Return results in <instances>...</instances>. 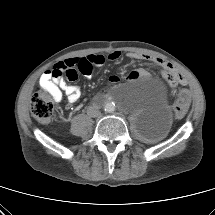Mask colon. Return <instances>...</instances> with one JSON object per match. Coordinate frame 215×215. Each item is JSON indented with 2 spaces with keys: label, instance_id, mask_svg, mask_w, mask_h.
I'll use <instances>...</instances> for the list:
<instances>
[{
  "label": "colon",
  "instance_id": "obj_1",
  "mask_svg": "<svg viewBox=\"0 0 215 215\" xmlns=\"http://www.w3.org/2000/svg\"><path fill=\"white\" fill-rule=\"evenodd\" d=\"M88 66L86 64H81L78 67L80 72H87ZM77 73L75 68L65 69L64 71H55L54 76L59 77L65 75L66 78H74ZM166 79L169 85L173 86L183 80V77L180 73L174 69L168 67L166 70ZM56 98L55 96L46 89H38L31 100V113L35 119L40 122L46 123L49 122L54 114ZM189 95L186 91L180 93L175 106L174 111L176 117H182L188 107Z\"/></svg>",
  "mask_w": 215,
  "mask_h": 215
}]
</instances>
